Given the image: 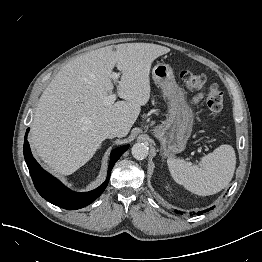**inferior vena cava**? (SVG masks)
<instances>
[{"mask_svg": "<svg viewBox=\"0 0 262 262\" xmlns=\"http://www.w3.org/2000/svg\"><path fill=\"white\" fill-rule=\"evenodd\" d=\"M106 138L118 137L120 134V128L115 124H109L103 129Z\"/></svg>", "mask_w": 262, "mask_h": 262, "instance_id": "602c4592", "label": "inferior vena cava"}]
</instances>
